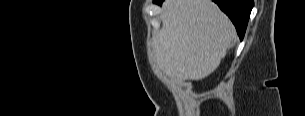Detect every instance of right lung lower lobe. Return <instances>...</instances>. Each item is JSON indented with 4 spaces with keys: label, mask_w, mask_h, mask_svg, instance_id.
<instances>
[{
    "label": "right lung lower lobe",
    "mask_w": 305,
    "mask_h": 116,
    "mask_svg": "<svg viewBox=\"0 0 305 116\" xmlns=\"http://www.w3.org/2000/svg\"><path fill=\"white\" fill-rule=\"evenodd\" d=\"M163 0H154L161 3ZM220 9L227 14L236 27L237 33L242 40L248 24L251 10L254 6L253 0H213Z\"/></svg>",
    "instance_id": "98d812e1"
}]
</instances>
